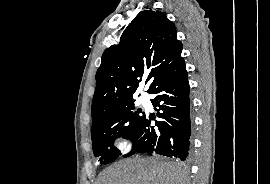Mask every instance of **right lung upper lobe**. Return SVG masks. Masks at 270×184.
Here are the masks:
<instances>
[{
	"label": "right lung upper lobe",
	"mask_w": 270,
	"mask_h": 184,
	"mask_svg": "<svg viewBox=\"0 0 270 184\" xmlns=\"http://www.w3.org/2000/svg\"><path fill=\"white\" fill-rule=\"evenodd\" d=\"M176 33L172 21L159 11H142L132 20L120 42L102 55L91 108L93 123L133 101L142 77L150 81L149 93L183 59Z\"/></svg>",
	"instance_id": "obj_1"
}]
</instances>
